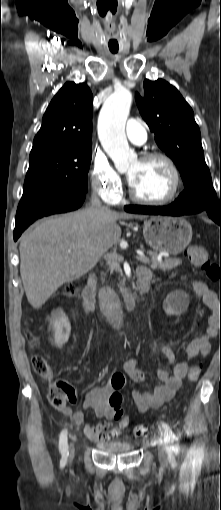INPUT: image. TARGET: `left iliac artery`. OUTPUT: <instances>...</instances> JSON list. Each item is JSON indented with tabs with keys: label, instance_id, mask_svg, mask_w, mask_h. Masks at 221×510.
Returning a JSON list of instances; mask_svg holds the SVG:
<instances>
[{
	"label": "left iliac artery",
	"instance_id": "obj_1",
	"mask_svg": "<svg viewBox=\"0 0 221 510\" xmlns=\"http://www.w3.org/2000/svg\"><path fill=\"white\" fill-rule=\"evenodd\" d=\"M161 425L164 430V441L167 444V451L172 450L177 453L179 451L177 436L173 433L168 424L161 422ZM170 442H172V446H170Z\"/></svg>",
	"mask_w": 221,
	"mask_h": 510
}]
</instances>
